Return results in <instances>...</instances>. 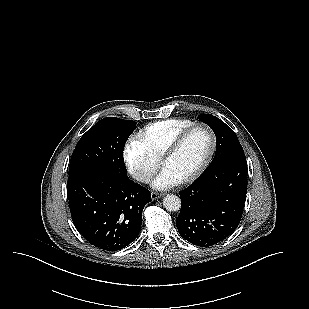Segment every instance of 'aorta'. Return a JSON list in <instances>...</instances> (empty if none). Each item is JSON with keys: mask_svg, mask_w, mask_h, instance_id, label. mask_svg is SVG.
Masks as SVG:
<instances>
[{"mask_svg": "<svg viewBox=\"0 0 309 309\" xmlns=\"http://www.w3.org/2000/svg\"><path fill=\"white\" fill-rule=\"evenodd\" d=\"M163 206L168 211H178L181 207V200L178 196L173 194H168L163 199Z\"/></svg>", "mask_w": 309, "mask_h": 309, "instance_id": "1", "label": "aorta"}]
</instances>
